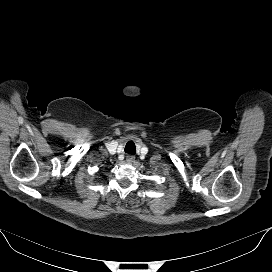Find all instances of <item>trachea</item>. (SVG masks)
<instances>
[{"label":"trachea","mask_w":272,"mask_h":272,"mask_svg":"<svg viewBox=\"0 0 272 272\" xmlns=\"http://www.w3.org/2000/svg\"><path fill=\"white\" fill-rule=\"evenodd\" d=\"M125 153L131 154V155L136 153V146L133 141L127 142V144L125 146Z\"/></svg>","instance_id":"3493384b"}]
</instances>
